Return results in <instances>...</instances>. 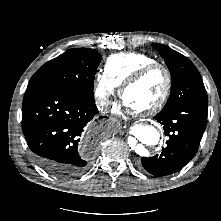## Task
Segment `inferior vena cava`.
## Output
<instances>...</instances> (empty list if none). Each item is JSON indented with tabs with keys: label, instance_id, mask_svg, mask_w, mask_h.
Wrapping results in <instances>:
<instances>
[{
	"label": "inferior vena cava",
	"instance_id": "1",
	"mask_svg": "<svg viewBox=\"0 0 221 221\" xmlns=\"http://www.w3.org/2000/svg\"><path fill=\"white\" fill-rule=\"evenodd\" d=\"M99 110H101L102 112H105L108 110V103L107 101H101L99 104Z\"/></svg>",
	"mask_w": 221,
	"mask_h": 221
}]
</instances>
